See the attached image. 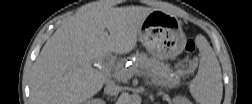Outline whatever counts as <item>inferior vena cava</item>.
<instances>
[{
	"label": "inferior vena cava",
	"mask_w": 252,
	"mask_h": 104,
	"mask_svg": "<svg viewBox=\"0 0 252 104\" xmlns=\"http://www.w3.org/2000/svg\"><path fill=\"white\" fill-rule=\"evenodd\" d=\"M121 90L122 87L115 84V82L113 81L108 82L104 88V92L111 96L118 95L121 92Z\"/></svg>",
	"instance_id": "602c4592"
}]
</instances>
